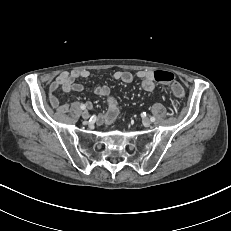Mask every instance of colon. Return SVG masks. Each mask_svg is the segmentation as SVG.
<instances>
[{
  "label": "colon",
  "mask_w": 231,
  "mask_h": 231,
  "mask_svg": "<svg viewBox=\"0 0 231 231\" xmlns=\"http://www.w3.org/2000/svg\"><path fill=\"white\" fill-rule=\"evenodd\" d=\"M153 79L161 84H171V92L176 97H182L184 95L183 87L179 83L174 82L173 73L165 70H157L153 72Z\"/></svg>",
  "instance_id": "colon-1"
}]
</instances>
